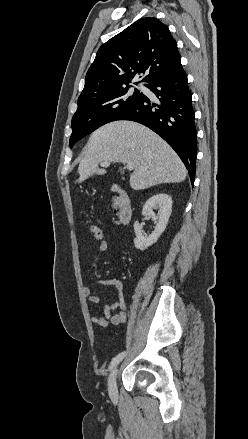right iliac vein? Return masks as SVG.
<instances>
[{
  "instance_id": "63e3f726",
  "label": "right iliac vein",
  "mask_w": 248,
  "mask_h": 439,
  "mask_svg": "<svg viewBox=\"0 0 248 439\" xmlns=\"http://www.w3.org/2000/svg\"><path fill=\"white\" fill-rule=\"evenodd\" d=\"M118 367H115L113 371L110 373L109 380H108V392L111 397L117 396V385H116V379L118 375Z\"/></svg>"
}]
</instances>
